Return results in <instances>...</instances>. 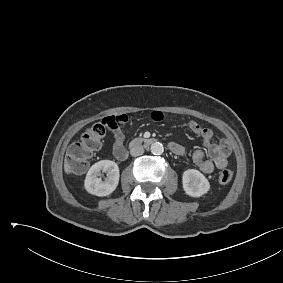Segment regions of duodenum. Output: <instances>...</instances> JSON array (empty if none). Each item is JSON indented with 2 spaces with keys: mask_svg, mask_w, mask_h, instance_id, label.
<instances>
[{
  "mask_svg": "<svg viewBox=\"0 0 283 283\" xmlns=\"http://www.w3.org/2000/svg\"><path fill=\"white\" fill-rule=\"evenodd\" d=\"M154 142L155 140L152 138H137L130 143V148L148 147ZM126 157H127V152L125 151V153L122 156V160H124Z\"/></svg>",
  "mask_w": 283,
  "mask_h": 283,
  "instance_id": "410a0bca",
  "label": "duodenum"
}]
</instances>
